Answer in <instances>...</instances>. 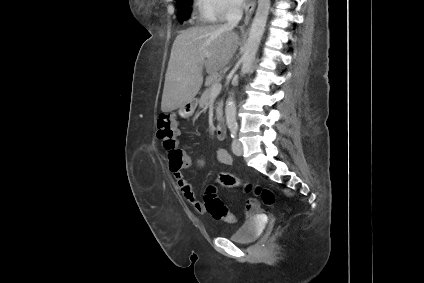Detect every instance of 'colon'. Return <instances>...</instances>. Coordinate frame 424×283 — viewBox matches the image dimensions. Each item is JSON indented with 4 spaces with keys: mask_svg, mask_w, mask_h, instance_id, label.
<instances>
[{
    "mask_svg": "<svg viewBox=\"0 0 424 283\" xmlns=\"http://www.w3.org/2000/svg\"><path fill=\"white\" fill-rule=\"evenodd\" d=\"M157 137L162 142L164 149L168 153L169 167L172 172L179 171L189 166L188 155L178 147V127L177 119L172 114L161 115L157 120ZM217 183L226 188L241 187L245 192L253 191L260 196L266 205L274 203V194L260 186H252L250 183L240 178L222 172L217 177ZM258 203L251 199L247 202V213L252 214L257 209ZM204 207L208 214L216 220H224L234 223L236 217L230 213L227 207L216 195L215 186H209L204 195Z\"/></svg>",
    "mask_w": 424,
    "mask_h": 283,
    "instance_id": "1",
    "label": "colon"
}]
</instances>
